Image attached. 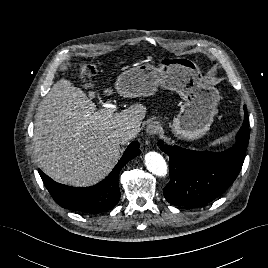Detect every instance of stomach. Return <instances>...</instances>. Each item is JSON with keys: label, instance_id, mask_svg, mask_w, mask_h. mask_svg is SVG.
<instances>
[{"label": "stomach", "instance_id": "1", "mask_svg": "<svg viewBox=\"0 0 268 268\" xmlns=\"http://www.w3.org/2000/svg\"><path fill=\"white\" fill-rule=\"evenodd\" d=\"M159 86L176 92L185 100L171 125L173 132L185 140L202 137L214 120L220 95L205 81L193 60L165 58L158 67L139 64L121 73L115 84L117 92L129 98L151 96Z\"/></svg>", "mask_w": 268, "mask_h": 268}]
</instances>
